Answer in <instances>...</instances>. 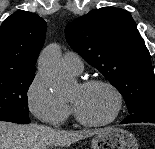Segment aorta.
<instances>
[{
	"mask_svg": "<svg viewBox=\"0 0 155 149\" xmlns=\"http://www.w3.org/2000/svg\"><path fill=\"white\" fill-rule=\"evenodd\" d=\"M38 69L54 96L66 98L70 95L74 82L65 73L58 44H50L42 51Z\"/></svg>",
	"mask_w": 155,
	"mask_h": 149,
	"instance_id": "aorta-1",
	"label": "aorta"
}]
</instances>
